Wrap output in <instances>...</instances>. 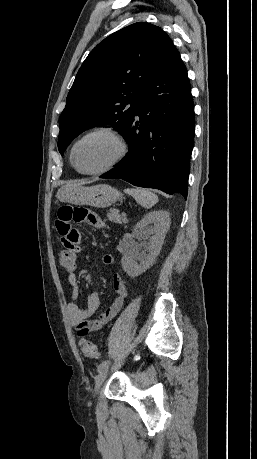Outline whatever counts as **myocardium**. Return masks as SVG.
<instances>
[{
	"instance_id": "obj_1",
	"label": "myocardium",
	"mask_w": 257,
	"mask_h": 459,
	"mask_svg": "<svg viewBox=\"0 0 257 459\" xmlns=\"http://www.w3.org/2000/svg\"><path fill=\"white\" fill-rule=\"evenodd\" d=\"M98 134H105V135H108L110 137H112L118 144L119 146V151L117 153V155L114 157V159L112 161H110L108 164H106L105 166L99 168V169H96V170H91V171H84V170H81L77 164H76V161H75V150L77 148V146L85 139L91 137V136H94V135H98ZM127 151H128V147H127V143L125 141V139L123 138V136L113 127H109V126H100V127H96L88 132H86L85 134H83L81 137H79L72 145L71 147V150H70V161H71V164L73 165V167L81 174H84V175H98V174H103V173H106L110 170H112L113 168H115L118 164L121 163V161L125 158L126 154H127Z\"/></svg>"
}]
</instances>
